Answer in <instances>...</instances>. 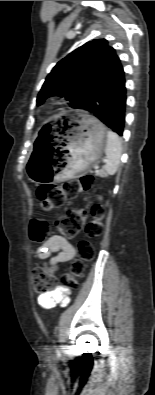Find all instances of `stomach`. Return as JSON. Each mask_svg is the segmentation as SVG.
<instances>
[{
  "instance_id": "stomach-1",
  "label": "stomach",
  "mask_w": 155,
  "mask_h": 395,
  "mask_svg": "<svg viewBox=\"0 0 155 395\" xmlns=\"http://www.w3.org/2000/svg\"><path fill=\"white\" fill-rule=\"evenodd\" d=\"M67 129L60 135L52 154L35 148L26 172L35 183L74 178L97 162L107 142L106 128L87 111L76 110L66 115Z\"/></svg>"
}]
</instances>
